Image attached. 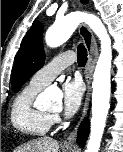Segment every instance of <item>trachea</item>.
<instances>
[{"label":"trachea","mask_w":123,"mask_h":152,"mask_svg":"<svg viewBox=\"0 0 123 152\" xmlns=\"http://www.w3.org/2000/svg\"><path fill=\"white\" fill-rule=\"evenodd\" d=\"M77 53H78V65L84 66L87 62V50L82 44L78 46Z\"/></svg>","instance_id":"1"}]
</instances>
